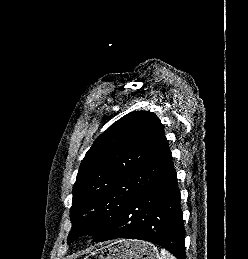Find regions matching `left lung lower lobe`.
I'll list each match as a JSON object with an SVG mask.
<instances>
[{
    "label": "left lung lower lobe",
    "instance_id": "obj_1",
    "mask_svg": "<svg viewBox=\"0 0 248 259\" xmlns=\"http://www.w3.org/2000/svg\"><path fill=\"white\" fill-rule=\"evenodd\" d=\"M115 238L149 241L167 249L178 259H186L180 192L173 164L93 241Z\"/></svg>",
    "mask_w": 248,
    "mask_h": 259
}]
</instances>
